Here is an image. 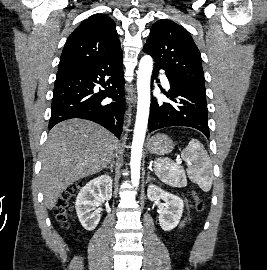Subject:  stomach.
Masks as SVG:
<instances>
[{
  "mask_svg": "<svg viewBox=\"0 0 267 270\" xmlns=\"http://www.w3.org/2000/svg\"><path fill=\"white\" fill-rule=\"evenodd\" d=\"M173 148V140L165 134H156L147 142V150L156 155L169 154Z\"/></svg>",
  "mask_w": 267,
  "mask_h": 270,
  "instance_id": "1",
  "label": "stomach"
}]
</instances>
